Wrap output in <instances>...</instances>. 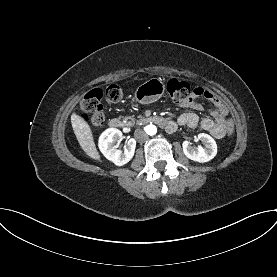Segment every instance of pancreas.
Instances as JSON below:
<instances>
[{
    "label": "pancreas",
    "instance_id": "pancreas-1",
    "mask_svg": "<svg viewBox=\"0 0 277 277\" xmlns=\"http://www.w3.org/2000/svg\"><path fill=\"white\" fill-rule=\"evenodd\" d=\"M129 119H130V121H128L126 123L127 126H133L135 124V122H137V123L140 122L139 120L136 121L134 117H129Z\"/></svg>",
    "mask_w": 277,
    "mask_h": 277
}]
</instances>
